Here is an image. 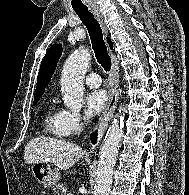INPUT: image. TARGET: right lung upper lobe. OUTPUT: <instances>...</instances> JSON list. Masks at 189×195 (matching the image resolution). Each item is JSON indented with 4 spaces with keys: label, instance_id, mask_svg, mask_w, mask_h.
<instances>
[{
    "label": "right lung upper lobe",
    "instance_id": "right-lung-upper-lobe-1",
    "mask_svg": "<svg viewBox=\"0 0 189 195\" xmlns=\"http://www.w3.org/2000/svg\"><path fill=\"white\" fill-rule=\"evenodd\" d=\"M107 41L109 43L110 48H113V44L111 43V40L107 38ZM62 53V45L61 44H54L52 45L48 51L46 52V55L44 56L40 70L37 77V86H36V92L34 95V100L40 98L42 94L44 93L45 87L48 85V83L51 80V76L53 75L55 68L57 66V62L61 56Z\"/></svg>",
    "mask_w": 189,
    "mask_h": 195
}]
</instances>
